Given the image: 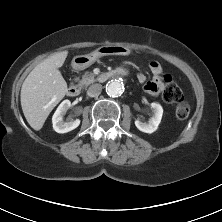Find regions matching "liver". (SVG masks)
<instances>
[{
	"label": "liver",
	"instance_id": "obj_1",
	"mask_svg": "<svg viewBox=\"0 0 222 222\" xmlns=\"http://www.w3.org/2000/svg\"><path fill=\"white\" fill-rule=\"evenodd\" d=\"M68 51L58 52L38 64L22 84L20 100L24 116L34 130H40L53 108L64 98L67 83L60 68Z\"/></svg>",
	"mask_w": 222,
	"mask_h": 222
}]
</instances>
